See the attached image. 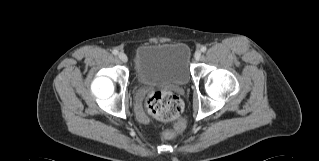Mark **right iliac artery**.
<instances>
[{"label":"right iliac artery","mask_w":319,"mask_h":161,"mask_svg":"<svg viewBox=\"0 0 319 161\" xmlns=\"http://www.w3.org/2000/svg\"><path fill=\"white\" fill-rule=\"evenodd\" d=\"M112 54L117 55V54H118V51H117L116 49H114V50L112 51Z\"/></svg>","instance_id":"1"}]
</instances>
